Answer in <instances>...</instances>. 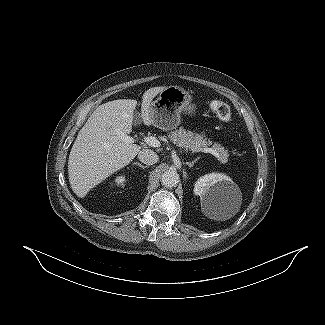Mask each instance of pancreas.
Masks as SVG:
<instances>
[{"instance_id":"pancreas-1","label":"pancreas","mask_w":325,"mask_h":325,"mask_svg":"<svg viewBox=\"0 0 325 325\" xmlns=\"http://www.w3.org/2000/svg\"><path fill=\"white\" fill-rule=\"evenodd\" d=\"M168 137L177 146L193 152L200 148H206L212 144V141L207 140L203 135L186 131L183 128L171 131ZM212 148L218 152L219 156L217 158L221 163H226L228 161V150L217 143H214Z\"/></svg>"}]
</instances>
